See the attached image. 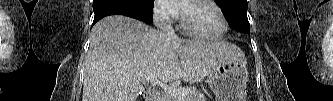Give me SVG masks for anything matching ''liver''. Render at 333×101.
<instances>
[{
    "label": "liver",
    "mask_w": 333,
    "mask_h": 101,
    "mask_svg": "<svg viewBox=\"0 0 333 101\" xmlns=\"http://www.w3.org/2000/svg\"><path fill=\"white\" fill-rule=\"evenodd\" d=\"M235 49L222 41L172 39L121 15L106 17L92 29L82 101H136L148 75L198 83Z\"/></svg>",
    "instance_id": "obj_1"
}]
</instances>
